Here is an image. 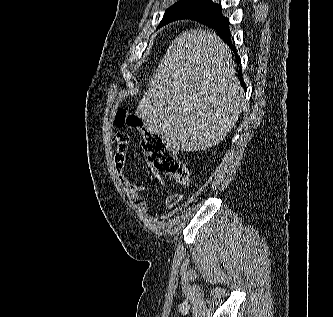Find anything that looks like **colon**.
<instances>
[{
    "mask_svg": "<svg viewBox=\"0 0 333 317\" xmlns=\"http://www.w3.org/2000/svg\"><path fill=\"white\" fill-rule=\"evenodd\" d=\"M115 125L138 130L142 134V147L148 161L160 172L172 176L179 184H189V171L177 157L173 148L151 130L140 116L124 109L118 110Z\"/></svg>",
    "mask_w": 333,
    "mask_h": 317,
    "instance_id": "1",
    "label": "colon"
}]
</instances>
